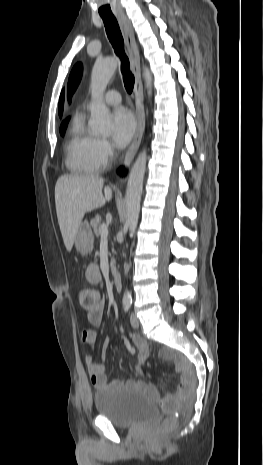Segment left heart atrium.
<instances>
[{"label": "left heart atrium", "instance_id": "39dd6f15", "mask_svg": "<svg viewBox=\"0 0 263 465\" xmlns=\"http://www.w3.org/2000/svg\"><path fill=\"white\" fill-rule=\"evenodd\" d=\"M111 119L114 141L121 146L126 145L136 129V121L132 112L125 107H118L113 111Z\"/></svg>", "mask_w": 263, "mask_h": 465}]
</instances>
